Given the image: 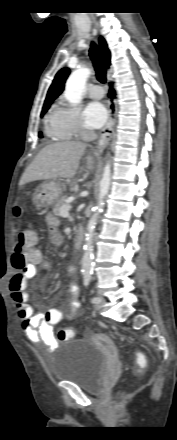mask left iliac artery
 Returning <instances> with one entry per match:
<instances>
[{"label":"left iliac artery","instance_id":"44dca946","mask_svg":"<svg viewBox=\"0 0 177 440\" xmlns=\"http://www.w3.org/2000/svg\"><path fill=\"white\" fill-rule=\"evenodd\" d=\"M90 280H91L90 275H86V276L84 277V285H85V286H88L89 283H90ZM99 301H100V299H99L98 297H93V298L91 299V302H92L93 304H96V303H98Z\"/></svg>","mask_w":177,"mask_h":440}]
</instances>
